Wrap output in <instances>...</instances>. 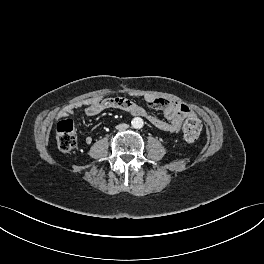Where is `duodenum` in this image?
Wrapping results in <instances>:
<instances>
[{
  "label": "duodenum",
  "mask_w": 264,
  "mask_h": 264,
  "mask_svg": "<svg viewBox=\"0 0 264 264\" xmlns=\"http://www.w3.org/2000/svg\"><path fill=\"white\" fill-rule=\"evenodd\" d=\"M136 115L142 116V113H139V114H136Z\"/></svg>",
  "instance_id": "obj_1"
}]
</instances>
